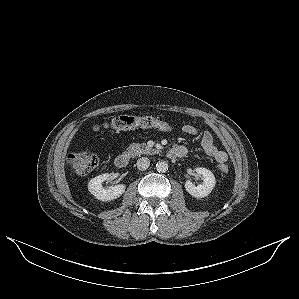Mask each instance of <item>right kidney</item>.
<instances>
[{
  "label": "right kidney",
  "mask_w": 299,
  "mask_h": 299,
  "mask_svg": "<svg viewBox=\"0 0 299 299\" xmlns=\"http://www.w3.org/2000/svg\"><path fill=\"white\" fill-rule=\"evenodd\" d=\"M110 177V174L105 173L91 179L88 183V190L92 195L101 201H111L120 197L125 192V185L118 184L105 189L102 183Z\"/></svg>",
  "instance_id": "ca27d5eb"
}]
</instances>
